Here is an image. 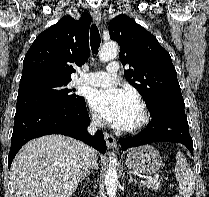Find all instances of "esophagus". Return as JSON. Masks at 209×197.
Wrapping results in <instances>:
<instances>
[{
  "label": "esophagus",
  "instance_id": "esophagus-1",
  "mask_svg": "<svg viewBox=\"0 0 209 197\" xmlns=\"http://www.w3.org/2000/svg\"><path fill=\"white\" fill-rule=\"evenodd\" d=\"M92 16L94 18V20L96 21L97 24L100 23L101 21V12L98 8H94L92 11ZM104 138L106 141V145L111 148V147H115L116 146V139L114 136H112L111 134L105 132L104 133Z\"/></svg>",
  "mask_w": 209,
  "mask_h": 197
}]
</instances>
